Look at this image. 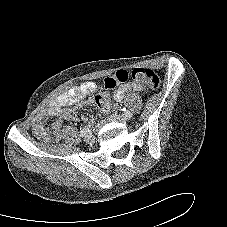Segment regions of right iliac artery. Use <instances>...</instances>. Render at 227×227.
Returning a JSON list of instances; mask_svg holds the SVG:
<instances>
[{
    "label": "right iliac artery",
    "mask_w": 227,
    "mask_h": 227,
    "mask_svg": "<svg viewBox=\"0 0 227 227\" xmlns=\"http://www.w3.org/2000/svg\"><path fill=\"white\" fill-rule=\"evenodd\" d=\"M89 132V128L87 126L80 129L81 136L84 137Z\"/></svg>",
    "instance_id": "right-iliac-artery-1"
}]
</instances>
